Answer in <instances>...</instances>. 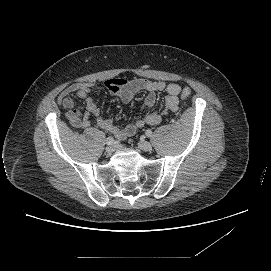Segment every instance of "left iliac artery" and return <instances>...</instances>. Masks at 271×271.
Returning <instances> with one entry per match:
<instances>
[{
	"instance_id": "obj_1",
	"label": "left iliac artery",
	"mask_w": 271,
	"mask_h": 271,
	"mask_svg": "<svg viewBox=\"0 0 271 271\" xmlns=\"http://www.w3.org/2000/svg\"><path fill=\"white\" fill-rule=\"evenodd\" d=\"M146 136L150 137L152 135V131L150 129L146 130Z\"/></svg>"
}]
</instances>
